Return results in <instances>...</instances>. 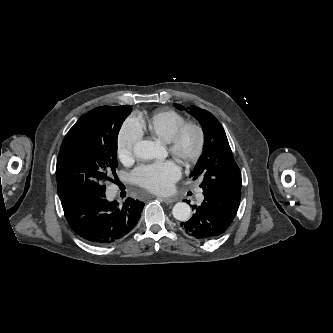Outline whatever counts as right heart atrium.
<instances>
[{
    "instance_id": "right-heart-atrium-1",
    "label": "right heart atrium",
    "mask_w": 333,
    "mask_h": 333,
    "mask_svg": "<svg viewBox=\"0 0 333 333\" xmlns=\"http://www.w3.org/2000/svg\"><path fill=\"white\" fill-rule=\"evenodd\" d=\"M142 133L141 125L134 116L124 121L116 139L117 156L122 162L132 158L134 147L140 141Z\"/></svg>"
}]
</instances>
